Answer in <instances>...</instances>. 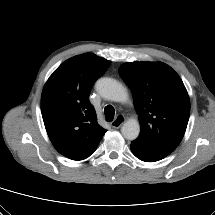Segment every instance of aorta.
Here are the masks:
<instances>
[{"label":"aorta","instance_id":"aorta-1","mask_svg":"<svg viewBox=\"0 0 215 215\" xmlns=\"http://www.w3.org/2000/svg\"><path fill=\"white\" fill-rule=\"evenodd\" d=\"M95 86L97 92L107 100L121 103L128 100V93L124 86L113 78H100ZM139 132V122L134 118L127 120L121 127L122 135L128 140H135Z\"/></svg>","mask_w":215,"mask_h":215}]
</instances>
